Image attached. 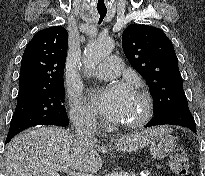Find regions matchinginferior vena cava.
I'll return each instance as SVG.
<instances>
[{"label":"inferior vena cava","instance_id":"obj_1","mask_svg":"<svg viewBox=\"0 0 205 176\" xmlns=\"http://www.w3.org/2000/svg\"><path fill=\"white\" fill-rule=\"evenodd\" d=\"M76 136L85 144H93L96 141V123L91 118H79L75 122Z\"/></svg>","mask_w":205,"mask_h":176}]
</instances>
